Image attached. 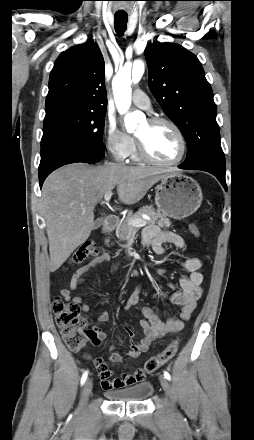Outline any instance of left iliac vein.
I'll return each instance as SVG.
<instances>
[{
  "label": "left iliac vein",
  "instance_id": "left-iliac-vein-1",
  "mask_svg": "<svg viewBox=\"0 0 254 440\" xmlns=\"http://www.w3.org/2000/svg\"><path fill=\"white\" fill-rule=\"evenodd\" d=\"M159 379H160V383H161L165 393L167 394L168 397H170L171 393H172V388H171L170 383L163 376H160Z\"/></svg>",
  "mask_w": 254,
  "mask_h": 440
}]
</instances>
